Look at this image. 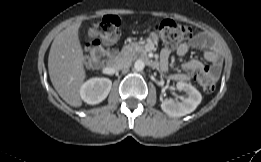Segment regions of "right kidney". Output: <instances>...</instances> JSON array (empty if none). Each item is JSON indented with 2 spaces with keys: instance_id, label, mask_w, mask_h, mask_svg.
<instances>
[{
  "instance_id": "1",
  "label": "right kidney",
  "mask_w": 261,
  "mask_h": 162,
  "mask_svg": "<svg viewBox=\"0 0 261 162\" xmlns=\"http://www.w3.org/2000/svg\"><path fill=\"white\" fill-rule=\"evenodd\" d=\"M112 81L108 78H91L80 88V96L87 104L102 102L109 94Z\"/></svg>"
}]
</instances>
